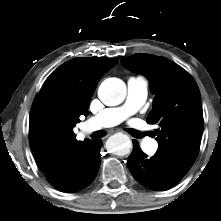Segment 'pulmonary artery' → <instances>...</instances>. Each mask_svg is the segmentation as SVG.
<instances>
[{
	"instance_id": "e3ab8cb5",
	"label": "pulmonary artery",
	"mask_w": 221,
	"mask_h": 221,
	"mask_svg": "<svg viewBox=\"0 0 221 221\" xmlns=\"http://www.w3.org/2000/svg\"><path fill=\"white\" fill-rule=\"evenodd\" d=\"M148 94V81L142 76L130 77L127 81V96L119 107L106 108L88 120V131L112 127L133 115L145 103ZM147 153H155L158 143L151 138L142 142Z\"/></svg>"
}]
</instances>
